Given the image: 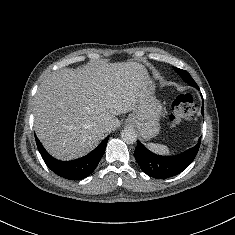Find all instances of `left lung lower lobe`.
<instances>
[{"mask_svg":"<svg viewBox=\"0 0 235 235\" xmlns=\"http://www.w3.org/2000/svg\"><path fill=\"white\" fill-rule=\"evenodd\" d=\"M195 87L198 88L197 84ZM204 115V104L201 109ZM201 138L196 146L176 156H160L150 152L139 141L134 152V157L141 169L149 176L165 179L175 176L185 170L194 160L200 147Z\"/></svg>","mask_w":235,"mask_h":235,"instance_id":"obj_1","label":"left lung lower lobe"}]
</instances>
